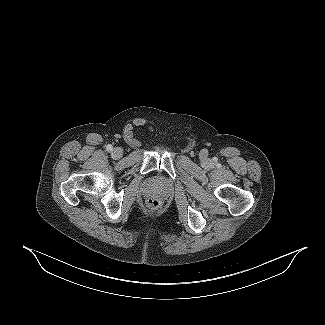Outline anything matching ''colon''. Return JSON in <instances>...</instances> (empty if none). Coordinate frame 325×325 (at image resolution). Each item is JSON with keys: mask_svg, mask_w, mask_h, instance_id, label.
Wrapping results in <instances>:
<instances>
[{"mask_svg": "<svg viewBox=\"0 0 325 325\" xmlns=\"http://www.w3.org/2000/svg\"><path fill=\"white\" fill-rule=\"evenodd\" d=\"M161 203L157 198H150L147 200V206L151 209H158Z\"/></svg>", "mask_w": 325, "mask_h": 325, "instance_id": "1", "label": "colon"}]
</instances>
